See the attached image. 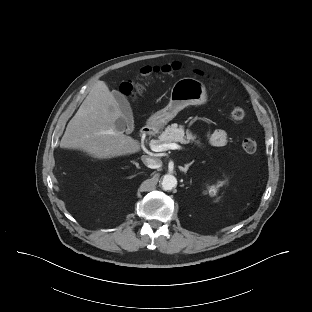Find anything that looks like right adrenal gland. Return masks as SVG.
<instances>
[{"mask_svg": "<svg viewBox=\"0 0 312 312\" xmlns=\"http://www.w3.org/2000/svg\"><path fill=\"white\" fill-rule=\"evenodd\" d=\"M132 163L137 167V169H140L139 163L132 161Z\"/></svg>", "mask_w": 312, "mask_h": 312, "instance_id": "2a0ac1e0", "label": "right adrenal gland"}]
</instances>
